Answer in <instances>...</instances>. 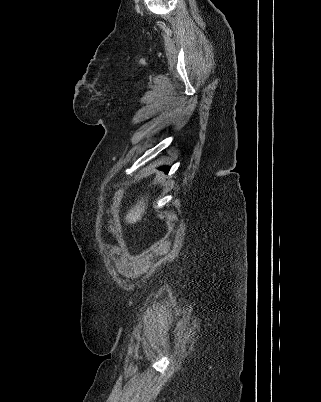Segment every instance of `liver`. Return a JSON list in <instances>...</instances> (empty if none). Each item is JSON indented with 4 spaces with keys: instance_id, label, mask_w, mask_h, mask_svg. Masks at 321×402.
Here are the masks:
<instances>
[{
    "instance_id": "liver-1",
    "label": "liver",
    "mask_w": 321,
    "mask_h": 402,
    "mask_svg": "<svg viewBox=\"0 0 321 402\" xmlns=\"http://www.w3.org/2000/svg\"><path fill=\"white\" fill-rule=\"evenodd\" d=\"M146 204L144 200L138 201V203L131 208V210L127 213L125 219L128 223H136L141 220V217L145 213Z\"/></svg>"
}]
</instances>
